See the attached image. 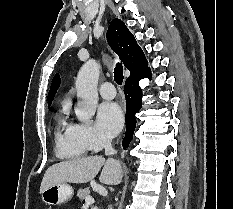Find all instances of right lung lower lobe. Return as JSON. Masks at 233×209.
<instances>
[{"label": "right lung lower lobe", "mask_w": 233, "mask_h": 209, "mask_svg": "<svg viewBox=\"0 0 233 209\" xmlns=\"http://www.w3.org/2000/svg\"><path fill=\"white\" fill-rule=\"evenodd\" d=\"M143 78H151L150 68L147 69L144 73L127 79L124 86V93L126 98V133L122 145L126 149L133 137V133L136 127V118L135 114L142 107V90L139 87V80Z\"/></svg>", "instance_id": "obj_1"}]
</instances>
